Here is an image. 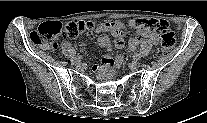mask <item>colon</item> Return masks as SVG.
<instances>
[{
	"label": "colon",
	"mask_w": 207,
	"mask_h": 123,
	"mask_svg": "<svg viewBox=\"0 0 207 123\" xmlns=\"http://www.w3.org/2000/svg\"><path fill=\"white\" fill-rule=\"evenodd\" d=\"M129 25L135 29H149L161 35V47L157 52L159 56H163L167 50L175 45V36L169 30L168 23L165 20L135 18L129 21ZM94 28L95 23L92 21H71L64 28L59 22H48L41 24L36 30L31 32L30 40L35 45L56 49L58 46L56 38L63 29L68 38L75 39L82 34L91 33ZM106 64H112V62Z\"/></svg>",
	"instance_id": "5ec220e1"
}]
</instances>
